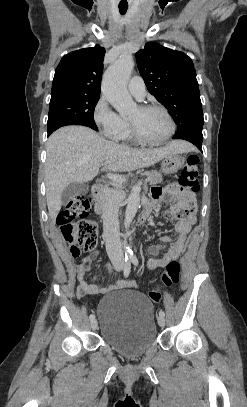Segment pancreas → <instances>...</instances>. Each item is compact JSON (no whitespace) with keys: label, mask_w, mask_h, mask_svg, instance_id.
I'll use <instances>...</instances> for the list:
<instances>
[{"label":"pancreas","mask_w":247,"mask_h":407,"mask_svg":"<svg viewBox=\"0 0 247 407\" xmlns=\"http://www.w3.org/2000/svg\"><path fill=\"white\" fill-rule=\"evenodd\" d=\"M145 175L147 176V178L150 179V180H149V183L152 184V185L161 183V182L163 181L162 174L159 173V172H157V171H153V170H152V171H148V172H145ZM115 186H116L117 188H120V185H119V184H115ZM104 197H105V190H103V191H101V192L99 193L98 200L101 201V200L104 199Z\"/></svg>","instance_id":"pancreas-1"}]
</instances>
